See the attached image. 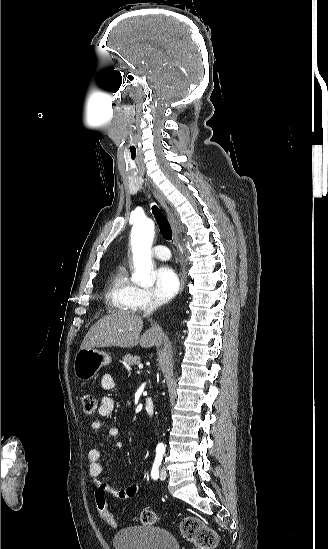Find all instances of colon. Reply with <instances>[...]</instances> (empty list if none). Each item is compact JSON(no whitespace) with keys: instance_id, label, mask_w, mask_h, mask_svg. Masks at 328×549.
Masks as SVG:
<instances>
[{"instance_id":"5ec220e1","label":"colon","mask_w":328,"mask_h":549,"mask_svg":"<svg viewBox=\"0 0 328 549\" xmlns=\"http://www.w3.org/2000/svg\"><path fill=\"white\" fill-rule=\"evenodd\" d=\"M83 411L86 414H93L97 408L96 399L86 394L82 398ZM106 492L102 486H97L95 498L102 522L108 527H116L117 521L112 513L106 507ZM139 521L143 525H153L158 521L157 514L152 510H143L139 515ZM180 533L182 537L193 544L195 549H214L218 544L216 532L207 526L197 517H185L180 523Z\"/></svg>"}]
</instances>
